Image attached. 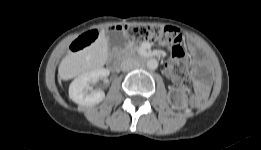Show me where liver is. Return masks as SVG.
Masks as SVG:
<instances>
[{
  "instance_id": "obj_1",
  "label": "liver",
  "mask_w": 261,
  "mask_h": 150,
  "mask_svg": "<svg viewBox=\"0 0 261 150\" xmlns=\"http://www.w3.org/2000/svg\"><path fill=\"white\" fill-rule=\"evenodd\" d=\"M108 59V41L102 32L94 43L83 51L66 55L59 66L58 81L61 85L63 78H68L74 73L83 74L102 68Z\"/></svg>"
}]
</instances>
